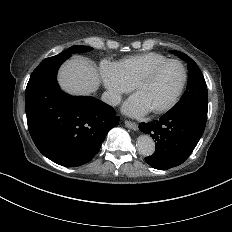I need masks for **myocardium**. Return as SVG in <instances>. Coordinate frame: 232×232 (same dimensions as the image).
<instances>
[{
	"label": "myocardium",
	"mask_w": 232,
	"mask_h": 232,
	"mask_svg": "<svg viewBox=\"0 0 232 232\" xmlns=\"http://www.w3.org/2000/svg\"><path fill=\"white\" fill-rule=\"evenodd\" d=\"M170 63H175V64L180 66L182 73H183V80H182L180 88L178 89V91L176 92V94L174 95L172 100L168 104H166L164 107L152 111V113L155 115H161V114H165V113L169 112L171 109H173L176 106V104L180 100L182 94L185 91L187 81H188V71H187L185 64L179 59L168 58L164 61H161V62L155 64L149 70H147L145 73L140 75L132 85V90L136 92L137 88L143 82L151 79L162 67H164L165 65L170 64Z\"/></svg>",
	"instance_id": "obj_1"
}]
</instances>
